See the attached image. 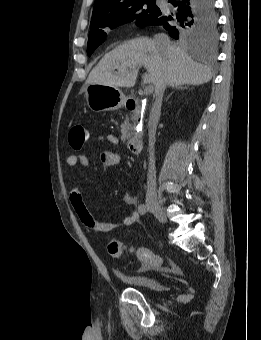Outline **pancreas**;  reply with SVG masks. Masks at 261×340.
<instances>
[{"label":"pancreas","mask_w":261,"mask_h":340,"mask_svg":"<svg viewBox=\"0 0 261 340\" xmlns=\"http://www.w3.org/2000/svg\"><path fill=\"white\" fill-rule=\"evenodd\" d=\"M134 116L130 115L128 117H126L125 122L122 125L121 128V140L123 142H125L127 139L131 138L132 135L135 133L134 132V125L132 123H130V120H133Z\"/></svg>","instance_id":"cf45deb5"}]
</instances>
